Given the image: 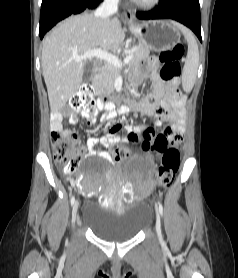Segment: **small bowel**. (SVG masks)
I'll use <instances>...</instances> for the list:
<instances>
[{"mask_svg": "<svg viewBox=\"0 0 238 278\" xmlns=\"http://www.w3.org/2000/svg\"><path fill=\"white\" fill-rule=\"evenodd\" d=\"M148 59L154 69L158 68L157 60L158 55H149ZM142 78V74L137 73L131 77V82L136 83ZM153 83L152 89L154 91L149 93L139 103H132L130 106H120L118 109L111 103L98 99L96 102V108L90 112L82 110L80 115L87 120L89 124H95L97 121V115L102 111V119L104 121H112L118 113L127 114L131 110L139 112L144 115L155 116L161 120L171 122L170 126L165 127L159 135L154 137L157 132V127H145L143 129L140 126L126 125V136H119L118 131L122 128L121 124L113 125L106 133L100 137H90L86 141V144L82 147L80 153L85 157L89 156H102L109 157V154L104 150H95L94 147L98 144L104 147H110L117 143H143L145 140L147 143L155 144H177L183 138L184 133V97L181 95L176 87V84H166L165 81L157 74L152 76ZM71 122L77 121V112L73 111L69 114ZM63 115L60 112H53L50 117V128L52 131H66L62 127ZM155 150L153 152L155 153ZM164 151L166 149H163ZM156 154V153H155ZM161 156L162 154H156ZM70 182L76 188H79L80 183L77 180L70 179ZM149 186H153V181H148Z\"/></svg>", "mask_w": 238, "mask_h": 278, "instance_id": "c3829d8e", "label": "small bowel"}]
</instances>
